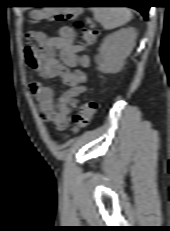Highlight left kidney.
<instances>
[{
  "label": "left kidney",
  "instance_id": "1",
  "mask_svg": "<svg viewBox=\"0 0 170 231\" xmlns=\"http://www.w3.org/2000/svg\"><path fill=\"white\" fill-rule=\"evenodd\" d=\"M137 32L133 27L122 28L108 35L96 56L98 69L102 73H117L135 46Z\"/></svg>",
  "mask_w": 170,
  "mask_h": 231
}]
</instances>
